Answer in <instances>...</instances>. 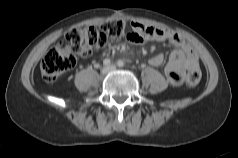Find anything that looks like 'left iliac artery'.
<instances>
[{"mask_svg":"<svg viewBox=\"0 0 238 158\" xmlns=\"http://www.w3.org/2000/svg\"><path fill=\"white\" fill-rule=\"evenodd\" d=\"M117 65H118L119 67H123V66H124V62H123L122 60H119V61L117 62Z\"/></svg>","mask_w":238,"mask_h":158,"instance_id":"1","label":"left iliac artery"}]
</instances>
